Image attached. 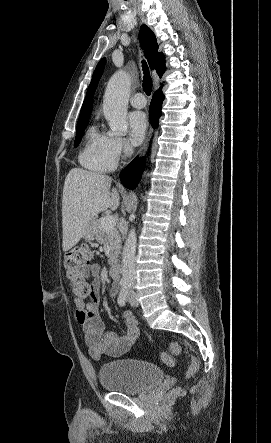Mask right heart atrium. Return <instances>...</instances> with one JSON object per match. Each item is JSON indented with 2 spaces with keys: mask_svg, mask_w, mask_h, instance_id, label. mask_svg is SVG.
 Instances as JSON below:
<instances>
[{
  "mask_svg": "<svg viewBox=\"0 0 271 443\" xmlns=\"http://www.w3.org/2000/svg\"><path fill=\"white\" fill-rule=\"evenodd\" d=\"M107 148L109 156L114 161H117L124 155L131 152V146L128 139L113 133L108 134Z\"/></svg>",
  "mask_w": 271,
  "mask_h": 443,
  "instance_id": "d8ad5b80",
  "label": "right heart atrium"
}]
</instances>
